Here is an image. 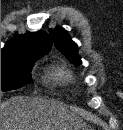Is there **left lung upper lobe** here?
Here are the masks:
<instances>
[{"label":"left lung upper lobe","instance_id":"obj_1","mask_svg":"<svg viewBox=\"0 0 123 130\" xmlns=\"http://www.w3.org/2000/svg\"><path fill=\"white\" fill-rule=\"evenodd\" d=\"M50 34L56 47L66 58L75 65H80L81 59L78 56V46L74 43L70 35L61 27L50 30Z\"/></svg>","mask_w":123,"mask_h":130}]
</instances>
